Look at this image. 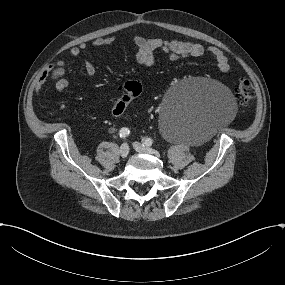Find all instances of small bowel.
Instances as JSON below:
<instances>
[{"label":"small bowel","instance_id":"1","mask_svg":"<svg viewBox=\"0 0 285 285\" xmlns=\"http://www.w3.org/2000/svg\"><path fill=\"white\" fill-rule=\"evenodd\" d=\"M133 44L135 46L134 57L136 61L143 66H152L155 63V52L161 51L168 55L172 61H178L186 57H211L219 71L227 72L230 69L228 58L225 53L218 47H204L203 45L190 41H181L177 39H162L158 37L144 38L139 35L132 37ZM116 42L114 37H100L92 41L93 47H108ZM89 45L82 43L70 50V54L74 57L81 56ZM85 72L89 77H93L96 73V68L93 63L87 59H83ZM54 69V65H50L46 71L40 76L36 90L41 92L43 84L50 71ZM69 86V81L66 78H60L55 84V91L57 95L62 94Z\"/></svg>","mask_w":285,"mask_h":285}]
</instances>
